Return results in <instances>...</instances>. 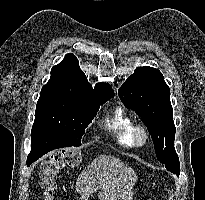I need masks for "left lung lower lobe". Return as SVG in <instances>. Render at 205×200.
<instances>
[{"mask_svg":"<svg viewBox=\"0 0 205 200\" xmlns=\"http://www.w3.org/2000/svg\"><path fill=\"white\" fill-rule=\"evenodd\" d=\"M166 169L168 171H171L172 173H175L177 176H179L180 174V164H179V159L174 162L173 164H170V163H166V164H163Z\"/></svg>","mask_w":205,"mask_h":200,"instance_id":"left-lung-lower-lobe-1","label":"left lung lower lobe"}]
</instances>
